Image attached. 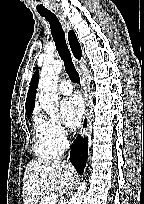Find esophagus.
<instances>
[{
  "label": "esophagus",
  "instance_id": "obj_1",
  "mask_svg": "<svg viewBox=\"0 0 144 204\" xmlns=\"http://www.w3.org/2000/svg\"><path fill=\"white\" fill-rule=\"evenodd\" d=\"M58 17L60 19V22L62 24L64 31L66 33L69 32L71 30V26L69 22L60 13H58ZM73 61H74L77 71L79 72L81 76V90L83 93V98L85 100V115H84L82 126H81V135L84 137L88 133L89 124H90V105H89V98H88L87 82L79 66V61L75 57H73Z\"/></svg>",
  "mask_w": 144,
  "mask_h": 204
}]
</instances>
